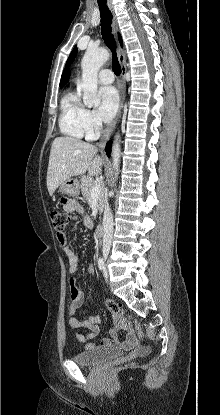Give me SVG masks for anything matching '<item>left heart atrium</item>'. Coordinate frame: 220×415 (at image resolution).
Masks as SVG:
<instances>
[{
  "label": "left heart atrium",
  "mask_w": 220,
  "mask_h": 415,
  "mask_svg": "<svg viewBox=\"0 0 220 415\" xmlns=\"http://www.w3.org/2000/svg\"><path fill=\"white\" fill-rule=\"evenodd\" d=\"M99 106L96 110V117L101 122H109L115 116L119 97L116 89L111 86L102 87L99 90Z\"/></svg>",
  "instance_id": "1"
}]
</instances>
